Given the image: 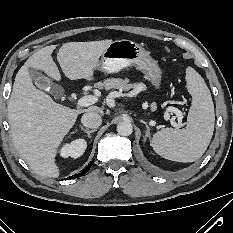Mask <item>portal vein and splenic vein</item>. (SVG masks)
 <instances>
[{
    "mask_svg": "<svg viewBox=\"0 0 233 233\" xmlns=\"http://www.w3.org/2000/svg\"><path fill=\"white\" fill-rule=\"evenodd\" d=\"M97 101H98V97L93 96V95H88V96H84V97L80 98L77 101V105L79 107H87V106H90V105H93V104L97 103ZM166 110H167V112L175 113L176 117H177V119L179 121V123H174L173 122L172 125L174 127H178V128L182 127L183 126L182 123H181L182 119H183L182 112L178 108L173 107V106H169ZM166 118L168 119L169 116H166Z\"/></svg>",
    "mask_w": 233,
    "mask_h": 233,
    "instance_id": "1",
    "label": "portal vein and splenic vein"
}]
</instances>
